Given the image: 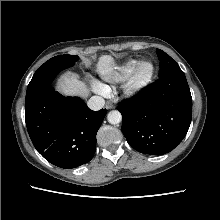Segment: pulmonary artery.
<instances>
[{"instance_id": "e3ab8cb5", "label": "pulmonary artery", "mask_w": 220, "mask_h": 220, "mask_svg": "<svg viewBox=\"0 0 220 220\" xmlns=\"http://www.w3.org/2000/svg\"><path fill=\"white\" fill-rule=\"evenodd\" d=\"M102 93L107 94V91L105 90V91H103Z\"/></svg>"}]
</instances>
